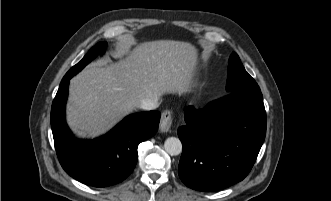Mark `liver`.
I'll list each match as a JSON object with an SVG mask.
<instances>
[{
	"mask_svg": "<svg viewBox=\"0 0 331 201\" xmlns=\"http://www.w3.org/2000/svg\"><path fill=\"white\" fill-rule=\"evenodd\" d=\"M118 62L93 63L70 81L67 122L79 137L105 133L125 115L156 94L189 91L197 62L187 42H144L120 49Z\"/></svg>",
	"mask_w": 331,
	"mask_h": 201,
	"instance_id": "liver-1",
	"label": "liver"
}]
</instances>
